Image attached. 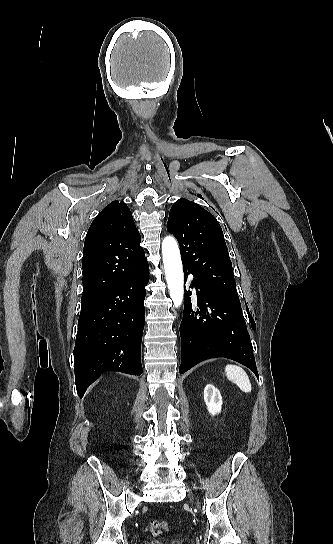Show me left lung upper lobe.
I'll return each instance as SVG.
<instances>
[{
  "instance_id": "1",
  "label": "left lung upper lobe",
  "mask_w": 333,
  "mask_h": 544,
  "mask_svg": "<svg viewBox=\"0 0 333 544\" xmlns=\"http://www.w3.org/2000/svg\"><path fill=\"white\" fill-rule=\"evenodd\" d=\"M167 230L178 240L183 267L226 302L241 308L228 249L216 218L181 198L170 210Z\"/></svg>"
}]
</instances>
